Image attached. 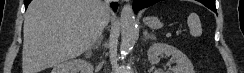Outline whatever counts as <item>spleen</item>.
Masks as SVG:
<instances>
[{
  "label": "spleen",
  "mask_w": 244,
  "mask_h": 73,
  "mask_svg": "<svg viewBox=\"0 0 244 73\" xmlns=\"http://www.w3.org/2000/svg\"><path fill=\"white\" fill-rule=\"evenodd\" d=\"M187 24L189 26L191 36L199 37L202 35L201 21L196 13H191L189 15Z\"/></svg>",
  "instance_id": "1"
}]
</instances>
